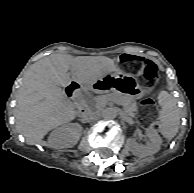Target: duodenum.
I'll list each match as a JSON object with an SVG mask.
<instances>
[{"label": "duodenum", "mask_w": 194, "mask_h": 193, "mask_svg": "<svg viewBox=\"0 0 194 193\" xmlns=\"http://www.w3.org/2000/svg\"><path fill=\"white\" fill-rule=\"evenodd\" d=\"M76 88H77V85L75 83H72L71 85H69L67 89L68 95L73 97L77 110L81 114H83L85 111V104H84V101L81 99V97L75 94L74 91L76 90Z\"/></svg>", "instance_id": "obj_1"}]
</instances>
